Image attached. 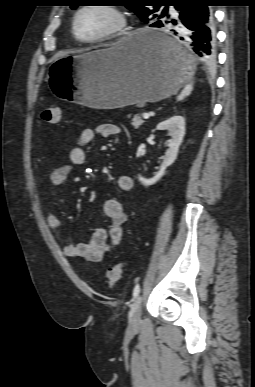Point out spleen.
<instances>
[{
  "instance_id": "1",
  "label": "spleen",
  "mask_w": 255,
  "mask_h": 387,
  "mask_svg": "<svg viewBox=\"0 0 255 387\" xmlns=\"http://www.w3.org/2000/svg\"><path fill=\"white\" fill-rule=\"evenodd\" d=\"M192 90H193V84L192 83L187 84L182 90V92L180 93V95H178L177 100L178 101L183 100L185 97L190 95Z\"/></svg>"
}]
</instances>
